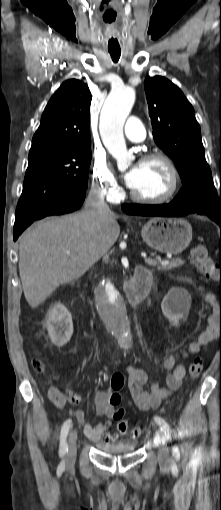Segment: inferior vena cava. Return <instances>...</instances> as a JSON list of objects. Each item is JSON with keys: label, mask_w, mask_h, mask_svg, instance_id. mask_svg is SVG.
I'll list each match as a JSON object with an SVG mask.
<instances>
[{"label": "inferior vena cava", "mask_w": 221, "mask_h": 510, "mask_svg": "<svg viewBox=\"0 0 221 510\" xmlns=\"http://www.w3.org/2000/svg\"><path fill=\"white\" fill-rule=\"evenodd\" d=\"M86 209L95 211L99 216H105L110 212L109 206L104 200L103 193L96 188H92L85 202Z\"/></svg>", "instance_id": "inferior-vena-cava-1"}]
</instances>
